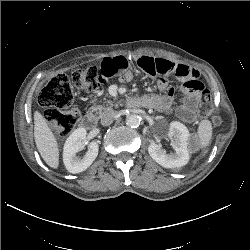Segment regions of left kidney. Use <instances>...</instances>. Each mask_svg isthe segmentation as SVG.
<instances>
[{
	"instance_id": "1",
	"label": "left kidney",
	"mask_w": 250,
	"mask_h": 250,
	"mask_svg": "<svg viewBox=\"0 0 250 250\" xmlns=\"http://www.w3.org/2000/svg\"><path fill=\"white\" fill-rule=\"evenodd\" d=\"M168 137L174 153L167 154L156 143H151L148 147V153L151 158L164 168H176L186 165L189 161L190 133L187 127L178 122L170 123Z\"/></svg>"
}]
</instances>
